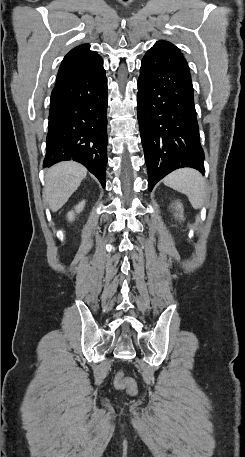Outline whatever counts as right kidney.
<instances>
[{
    "label": "right kidney",
    "mask_w": 245,
    "mask_h": 457,
    "mask_svg": "<svg viewBox=\"0 0 245 457\" xmlns=\"http://www.w3.org/2000/svg\"><path fill=\"white\" fill-rule=\"evenodd\" d=\"M85 204V200H82V202H79V204H76L75 210H70L67 214L68 220H74L75 218V212H81L83 210Z\"/></svg>",
    "instance_id": "1"
}]
</instances>
